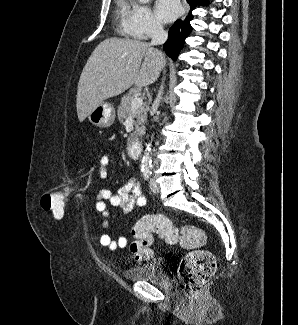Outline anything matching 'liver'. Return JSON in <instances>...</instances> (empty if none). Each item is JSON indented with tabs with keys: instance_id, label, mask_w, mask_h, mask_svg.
I'll return each mask as SVG.
<instances>
[{
	"instance_id": "6515ba94",
	"label": "liver",
	"mask_w": 298,
	"mask_h": 325,
	"mask_svg": "<svg viewBox=\"0 0 298 325\" xmlns=\"http://www.w3.org/2000/svg\"><path fill=\"white\" fill-rule=\"evenodd\" d=\"M143 60V62H142ZM158 48L143 40L105 38L90 54L79 78L76 108L80 122L95 106L128 90L153 84L165 64Z\"/></svg>"
}]
</instances>
